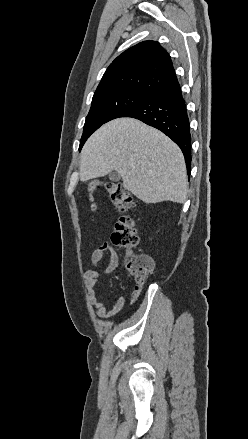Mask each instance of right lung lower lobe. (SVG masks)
Here are the masks:
<instances>
[{
	"label": "right lung lower lobe",
	"mask_w": 248,
	"mask_h": 439,
	"mask_svg": "<svg viewBox=\"0 0 248 439\" xmlns=\"http://www.w3.org/2000/svg\"><path fill=\"white\" fill-rule=\"evenodd\" d=\"M131 117L155 127L171 138L182 150L188 175L191 165V136L189 118L178 80L149 95L125 112Z\"/></svg>",
	"instance_id": "1"
}]
</instances>
